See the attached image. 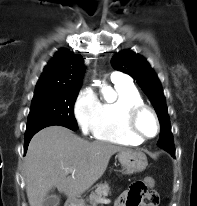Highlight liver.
Here are the masks:
<instances>
[{
    "instance_id": "6515ba94",
    "label": "liver",
    "mask_w": 197,
    "mask_h": 206,
    "mask_svg": "<svg viewBox=\"0 0 197 206\" xmlns=\"http://www.w3.org/2000/svg\"><path fill=\"white\" fill-rule=\"evenodd\" d=\"M126 150L110 143L89 142L62 126L42 129L32 138L24 161L30 206H43L54 187L69 199L82 195L104 174L111 156Z\"/></svg>"
}]
</instances>
